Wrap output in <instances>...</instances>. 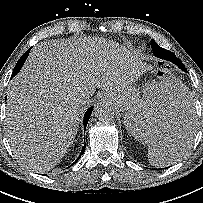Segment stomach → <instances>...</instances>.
Returning <instances> with one entry per match:
<instances>
[{
  "label": "stomach",
  "instance_id": "obj_1",
  "mask_svg": "<svg viewBox=\"0 0 203 203\" xmlns=\"http://www.w3.org/2000/svg\"><path fill=\"white\" fill-rule=\"evenodd\" d=\"M111 101L116 104L121 109L125 110L124 118L126 119L125 124L127 129H129V124L131 122V115L134 113V110L138 107L140 101V91L135 87H126L124 90L116 92L112 97ZM153 124L156 126L158 124V115L153 116ZM142 131H137L135 133H141ZM144 140L147 141L149 138L144 137Z\"/></svg>",
  "mask_w": 203,
  "mask_h": 203
}]
</instances>
